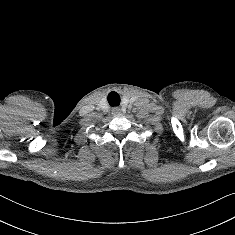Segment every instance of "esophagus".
Listing matches in <instances>:
<instances>
[{
    "label": "esophagus",
    "mask_w": 235,
    "mask_h": 235,
    "mask_svg": "<svg viewBox=\"0 0 235 235\" xmlns=\"http://www.w3.org/2000/svg\"><path fill=\"white\" fill-rule=\"evenodd\" d=\"M118 113H120V109L119 108L115 107V108L112 109V114L113 115H116Z\"/></svg>",
    "instance_id": "esophagus-1"
}]
</instances>
